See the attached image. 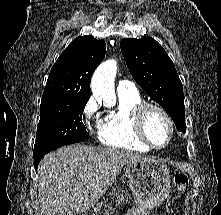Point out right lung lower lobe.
Returning <instances> with one entry per match:
<instances>
[{
  "label": "right lung lower lobe",
  "instance_id": "98d812e1",
  "mask_svg": "<svg viewBox=\"0 0 221 215\" xmlns=\"http://www.w3.org/2000/svg\"><path fill=\"white\" fill-rule=\"evenodd\" d=\"M44 155H45V154H44ZM44 155H40V156L34 157V167H35V170H37L38 164H39V162L41 161V159L44 157Z\"/></svg>",
  "mask_w": 221,
  "mask_h": 215
}]
</instances>
